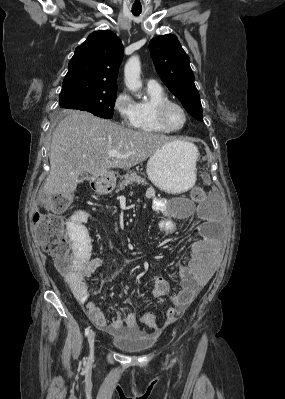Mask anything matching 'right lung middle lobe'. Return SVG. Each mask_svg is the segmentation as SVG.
Returning <instances> with one entry per match:
<instances>
[{"label":"right lung middle lobe","mask_w":285,"mask_h":399,"mask_svg":"<svg viewBox=\"0 0 285 399\" xmlns=\"http://www.w3.org/2000/svg\"><path fill=\"white\" fill-rule=\"evenodd\" d=\"M116 92L77 91L59 95L61 108L76 109L92 113L95 116L111 119L114 113Z\"/></svg>","instance_id":"obj_1"}]
</instances>
